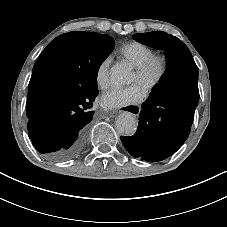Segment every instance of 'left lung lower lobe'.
Masks as SVG:
<instances>
[{"label":"left lung lower lobe","mask_w":227,"mask_h":227,"mask_svg":"<svg viewBox=\"0 0 227 227\" xmlns=\"http://www.w3.org/2000/svg\"><path fill=\"white\" fill-rule=\"evenodd\" d=\"M198 99V68L181 52L142 104L136 133L120 137L126 150L148 162L174 154L189 136Z\"/></svg>","instance_id":"left-lung-lower-lobe-1"}]
</instances>
